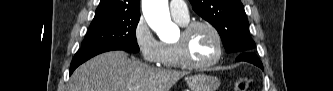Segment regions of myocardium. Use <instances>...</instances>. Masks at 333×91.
I'll use <instances>...</instances> for the list:
<instances>
[{
	"instance_id": "1",
	"label": "myocardium",
	"mask_w": 333,
	"mask_h": 91,
	"mask_svg": "<svg viewBox=\"0 0 333 91\" xmlns=\"http://www.w3.org/2000/svg\"><path fill=\"white\" fill-rule=\"evenodd\" d=\"M198 27H205V28L209 29L212 32V34L214 35L216 42H217V53H216L215 57L212 58L211 60H209L207 62H203V63L194 62L191 59L190 53H189L190 36H191L192 32ZM175 45L177 48V56H178V60H179L180 64L183 67L190 68V69H206L211 66H214L221 60V58L223 56V52H224L223 38H222L220 31L217 29V27L215 25H213L212 23H210L208 21H204V20H194V21H190V22L186 23L185 25H183L180 38L177 40Z\"/></svg>"
}]
</instances>
